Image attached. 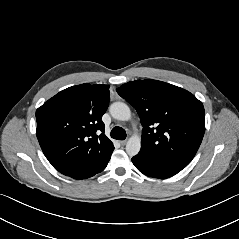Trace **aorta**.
Masks as SVG:
<instances>
[{
    "instance_id": "aorta-1",
    "label": "aorta",
    "mask_w": 239,
    "mask_h": 239,
    "mask_svg": "<svg viewBox=\"0 0 239 239\" xmlns=\"http://www.w3.org/2000/svg\"><path fill=\"white\" fill-rule=\"evenodd\" d=\"M110 114L113 118L120 121H128L131 118V111L127 104L123 102H114L110 106ZM141 148V140L138 135L131 136L126 144V152L129 156L137 155Z\"/></svg>"
}]
</instances>
